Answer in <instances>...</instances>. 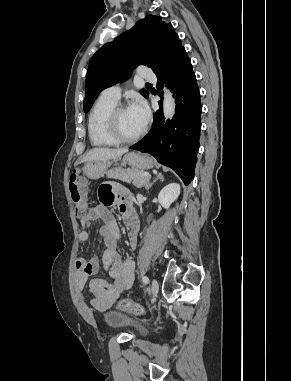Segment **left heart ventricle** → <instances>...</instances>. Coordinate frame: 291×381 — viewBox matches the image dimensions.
<instances>
[{"label":"left heart ventricle","mask_w":291,"mask_h":381,"mask_svg":"<svg viewBox=\"0 0 291 381\" xmlns=\"http://www.w3.org/2000/svg\"><path fill=\"white\" fill-rule=\"evenodd\" d=\"M118 127L120 133L125 137H133L143 129V126L129 108L120 113Z\"/></svg>","instance_id":"1"}]
</instances>
